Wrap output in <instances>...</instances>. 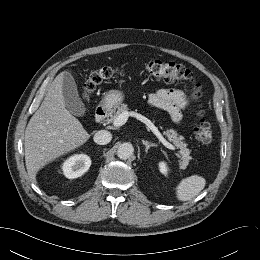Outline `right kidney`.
Instances as JSON below:
<instances>
[{
	"label": "right kidney",
	"mask_w": 260,
	"mask_h": 260,
	"mask_svg": "<svg viewBox=\"0 0 260 260\" xmlns=\"http://www.w3.org/2000/svg\"><path fill=\"white\" fill-rule=\"evenodd\" d=\"M91 165V159L85 154H78L68 158L62 165L63 174L69 178L74 179L82 176L88 171Z\"/></svg>",
	"instance_id": "right-kidney-1"
}]
</instances>
